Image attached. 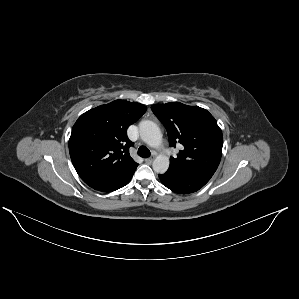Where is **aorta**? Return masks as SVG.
Listing matches in <instances>:
<instances>
[{
  "mask_svg": "<svg viewBox=\"0 0 299 299\" xmlns=\"http://www.w3.org/2000/svg\"><path fill=\"white\" fill-rule=\"evenodd\" d=\"M139 135L142 141L153 148H159L162 144V134L156 123L144 120L139 124ZM156 173L163 174L169 168V158L166 155H158L152 164Z\"/></svg>",
  "mask_w": 299,
  "mask_h": 299,
  "instance_id": "1",
  "label": "aorta"
}]
</instances>
